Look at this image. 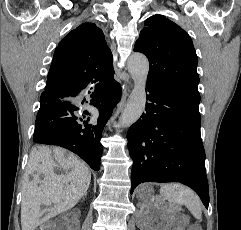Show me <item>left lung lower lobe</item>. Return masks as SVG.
Instances as JSON below:
<instances>
[{
	"mask_svg": "<svg viewBox=\"0 0 241 230\" xmlns=\"http://www.w3.org/2000/svg\"><path fill=\"white\" fill-rule=\"evenodd\" d=\"M147 91L146 113L127 134L133 159L131 192L143 182H180L208 208L200 98L156 82H147Z\"/></svg>",
	"mask_w": 241,
	"mask_h": 230,
	"instance_id": "left-lung-lower-lobe-1",
	"label": "left lung lower lobe"
}]
</instances>
